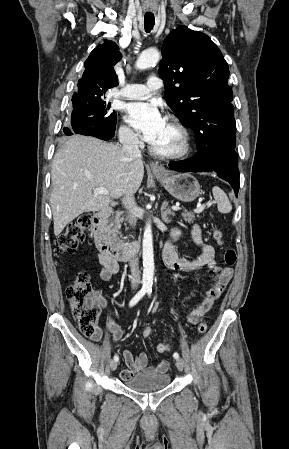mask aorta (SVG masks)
Masks as SVG:
<instances>
[{
	"label": "aorta",
	"instance_id": "aorta-1",
	"mask_svg": "<svg viewBox=\"0 0 289 449\" xmlns=\"http://www.w3.org/2000/svg\"><path fill=\"white\" fill-rule=\"evenodd\" d=\"M160 53L156 49H147L141 53L136 62V68L139 70L147 69L158 63ZM142 258H143V287L152 288L154 277V254H153V238L151 224L147 223L144 231L142 242Z\"/></svg>",
	"mask_w": 289,
	"mask_h": 449
}]
</instances>
